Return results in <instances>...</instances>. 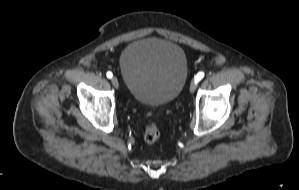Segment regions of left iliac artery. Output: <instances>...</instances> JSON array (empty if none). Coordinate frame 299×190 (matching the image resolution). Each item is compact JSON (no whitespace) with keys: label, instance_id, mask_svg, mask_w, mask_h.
<instances>
[{"label":"left iliac artery","instance_id":"obj_1","mask_svg":"<svg viewBox=\"0 0 299 190\" xmlns=\"http://www.w3.org/2000/svg\"><path fill=\"white\" fill-rule=\"evenodd\" d=\"M203 77H204V72H199V73L195 76V82L198 83Z\"/></svg>","mask_w":299,"mask_h":190}]
</instances>
